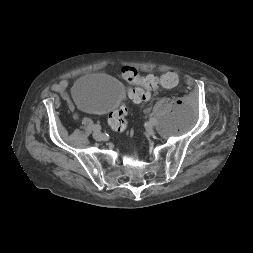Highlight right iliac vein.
I'll use <instances>...</instances> for the list:
<instances>
[{
	"label": "right iliac vein",
	"instance_id": "1",
	"mask_svg": "<svg viewBox=\"0 0 253 253\" xmlns=\"http://www.w3.org/2000/svg\"><path fill=\"white\" fill-rule=\"evenodd\" d=\"M93 137L97 140H102L103 134L99 130H95L93 133Z\"/></svg>",
	"mask_w": 253,
	"mask_h": 253
}]
</instances>
